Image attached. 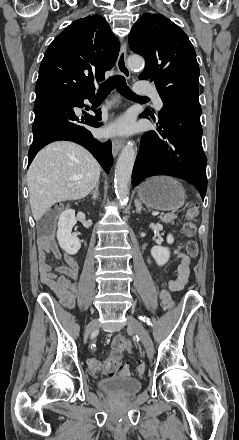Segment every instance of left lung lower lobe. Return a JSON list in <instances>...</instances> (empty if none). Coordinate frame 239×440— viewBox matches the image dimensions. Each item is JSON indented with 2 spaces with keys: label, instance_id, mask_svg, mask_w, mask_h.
<instances>
[{
  "label": "left lung lower lobe",
  "instance_id": "1",
  "mask_svg": "<svg viewBox=\"0 0 239 440\" xmlns=\"http://www.w3.org/2000/svg\"><path fill=\"white\" fill-rule=\"evenodd\" d=\"M200 114L198 97L176 95L163 100L157 131H148L141 137L132 185L146 177L171 175L195 184L204 199L207 158L201 145ZM149 116L154 119L147 111L140 117Z\"/></svg>",
  "mask_w": 239,
  "mask_h": 440
}]
</instances>
